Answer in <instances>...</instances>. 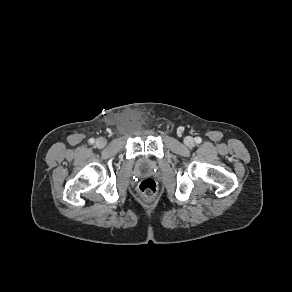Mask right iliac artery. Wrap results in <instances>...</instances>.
<instances>
[{"instance_id": "1", "label": "right iliac artery", "mask_w": 292, "mask_h": 292, "mask_svg": "<svg viewBox=\"0 0 292 292\" xmlns=\"http://www.w3.org/2000/svg\"><path fill=\"white\" fill-rule=\"evenodd\" d=\"M94 141H95V140H94L93 138L89 139V143H91V144H93Z\"/></svg>"}]
</instances>
